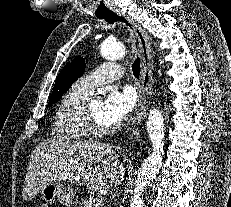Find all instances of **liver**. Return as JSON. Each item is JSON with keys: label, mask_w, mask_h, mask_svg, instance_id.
Returning <instances> with one entry per match:
<instances>
[{"label": "liver", "mask_w": 231, "mask_h": 207, "mask_svg": "<svg viewBox=\"0 0 231 207\" xmlns=\"http://www.w3.org/2000/svg\"><path fill=\"white\" fill-rule=\"evenodd\" d=\"M119 156L106 143L48 140L32 151L22 197L31 200L51 181L87 185L89 190L110 189L123 181Z\"/></svg>", "instance_id": "1"}]
</instances>
